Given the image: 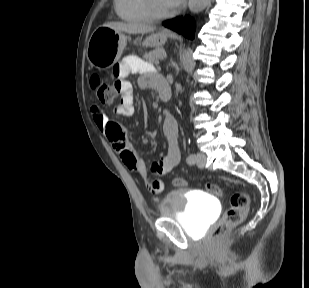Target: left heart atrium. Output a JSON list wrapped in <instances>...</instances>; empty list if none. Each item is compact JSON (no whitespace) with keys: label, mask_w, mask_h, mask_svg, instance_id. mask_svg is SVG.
<instances>
[{"label":"left heart atrium","mask_w":309,"mask_h":288,"mask_svg":"<svg viewBox=\"0 0 309 288\" xmlns=\"http://www.w3.org/2000/svg\"><path fill=\"white\" fill-rule=\"evenodd\" d=\"M171 8L178 7L183 0H166Z\"/></svg>","instance_id":"obj_1"}]
</instances>
